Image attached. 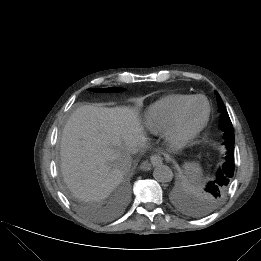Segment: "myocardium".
Segmentation results:
<instances>
[{"label":"myocardium","instance_id":"1","mask_svg":"<svg viewBox=\"0 0 261 261\" xmlns=\"http://www.w3.org/2000/svg\"><path fill=\"white\" fill-rule=\"evenodd\" d=\"M202 99L206 104V111L201 122L190 132L182 133L180 125L183 114L187 107L195 100ZM211 115V106L209 100L203 95H193L186 100L177 110L175 116L164 132L165 141L173 148H183L191 145L207 126Z\"/></svg>","mask_w":261,"mask_h":261}]
</instances>
